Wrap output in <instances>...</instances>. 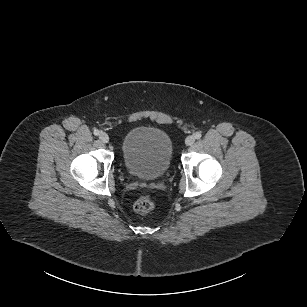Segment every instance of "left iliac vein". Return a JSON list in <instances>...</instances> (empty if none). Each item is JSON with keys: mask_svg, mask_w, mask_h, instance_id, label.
Here are the masks:
<instances>
[{"mask_svg": "<svg viewBox=\"0 0 307 307\" xmlns=\"http://www.w3.org/2000/svg\"><path fill=\"white\" fill-rule=\"evenodd\" d=\"M194 142H195L194 136H188V137L185 139V143H186V145H188V146H191Z\"/></svg>", "mask_w": 307, "mask_h": 307, "instance_id": "obj_1", "label": "left iliac vein"}]
</instances>
